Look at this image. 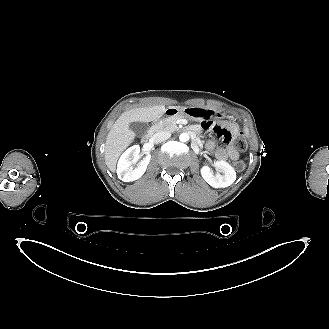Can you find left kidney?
I'll list each match as a JSON object with an SVG mask.
<instances>
[{
	"label": "left kidney",
	"mask_w": 329,
	"mask_h": 329,
	"mask_svg": "<svg viewBox=\"0 0 329 329\" xmlns=\"http://www.w3.org/2000/svg\"><path fill=\"white\" fill-rule=\"evenodd\" d=\"M214 166L217 173L214 174L209 166L201 168L203 179L214 188H225L230 186L236 180V172L234 168L226 161H216Z\"/></svg>",
	"instance_id": "1"
}]
</instances>
